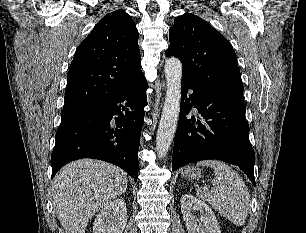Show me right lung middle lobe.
I'll return each mask as SVG.
<instances>
[{
    "mask_svg": "<svg viewBox=\"0 0 306 233\" xmlns=\"http://www.w3.org/2000/svg\"><path fill=\"white\" fill-rule=\"evenodd\" d=\"M74 108H77V107H72V108H63L62 112H63V111H66V110H69V109H74Z\"/></svg>",
    "mask_w": 306,
    "mask_h": 233,
    "instance_id": "1",
    "label": "right lung middle lobe"
}]
</instances>
